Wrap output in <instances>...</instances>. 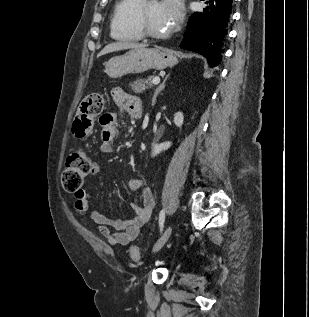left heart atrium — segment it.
I'll use <instances>...</instances> for the list:
<instances>
[{"mask_svg": "<svg viewBox=\"0 0 309 317\" xmlns=\"http://www.w3.org/2000/svg\"><path fill=\"white\" fill-rule=\"evenodd\" d=\"M162 7L172 27L176 26L183 17L181 0H164Z\"/></svg>", "mask_w": 309, "mask_h": 317, "instance_id": "1", "label": "left heart atrium"}]
</instances>
